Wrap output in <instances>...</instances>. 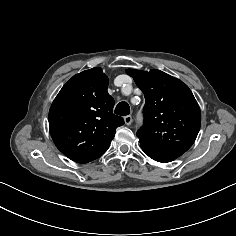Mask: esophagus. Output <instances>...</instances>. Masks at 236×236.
I'll return each instance as SVG.
<instances>
[{
	"label": "esophagus",
	"mask_w": 236,
	"mask_h": 236,
	"mask_svg": "<svg viewBox=\"0 0 236 236\" xmlns=\"http://www.w3.org/2000/svg\"><path fill=\"white\" fill-rule=\"evenodd\" d=\"M124 122L126 125H130L132 123V117L130 115L125 116Z\"/></svg>",
	"instance_id": "esophagus-1"
}]
</instances>
